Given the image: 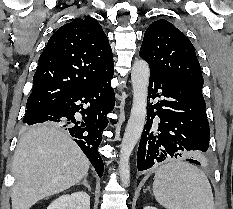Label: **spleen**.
Masks as SVG:
<instances>
[{"instance_id": "3e777b00", "label": "spleen", "mask_w": 233, "mask_h": 209, "mask_svg": "<svg viewBox=\"0 0 233 209\" xmlns=\"http://www.w3.org/2000/svg\"><path fill=\"white\" fill-rule=\"evenodd\" d=\"M153 194L166 209H214L207 176L188 162L172 161L160 166L155 172Z\"/></svg>"}]
</instances>
